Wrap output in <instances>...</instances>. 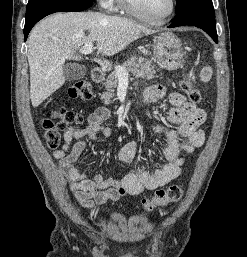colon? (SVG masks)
<instances>
[{
    "label": "colon",
    "instance_id": "1",
    "mask_svg": "<svg viewBox=\"0 0 247 257\" xmlns=\"http://www.w3.org/2000/svg\"><path fill=\"white\" fill-rule=\"evenodd\" d=\"M180 86L192 102H200L201 93L189 80H183ZM68 94L74 99L88 100L93 94L92 85L86 80L76 81L70 86ZM82 122L83 115L81 113L69 110L65 106L52 111L42 122L47 146L51 149L57 148L61 141V128L81 124ZM182 195V187L173 185L166 189L157 190L153 197L144 199L142 205L146 211L150 212L156 208L179 201Z\"/></svg>",
    "mask_w": 247,
    "mask_h": 257
}]
</instances>
